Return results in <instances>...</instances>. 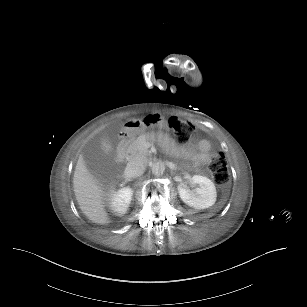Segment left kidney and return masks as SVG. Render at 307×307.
I'll use <instances>...</instances> for the list:
<instances>
[{
	"label": "left kidney",
	"instance_id": "obj_1",
	"mask_svg": "<svg viewBox=\"0 0 307 307\" xmlns=\"http://www.w3.org/2000/svg\"><path fill=\"white\" fill-rule=\"evenodd\" d=\"M191 184L198 187L190 191L181 183L177 185L179 197L186 205L194 209H207L214 205L217 196L216 187L210 179L195 175L191 179Z\"/></svg>",
	"mask_w": 307,
	"mask_h": 307
}]
</instances>
